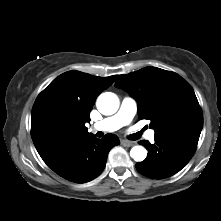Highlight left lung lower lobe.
<instances>
[{
  "instance_id": "left-lung-lower-lobe-1",
  "label": "left lung lower lobe",
  "mask_w": 221,
  "mask_h": 221,
  "mask_svg": "<svg viewBox=\"0 0 221 221\" xmlns=\"http://www.w3.org/2000/svg\"><path fill=\"white\" fill-rule=\"evenodd\" d=\"M200 134L198 133H174L160 137H154L155 143L142 140L149 152L147 158L136 163V169L142 175L163 179L179 172L192 158Z\"/></svg>"
}]
</instances>
